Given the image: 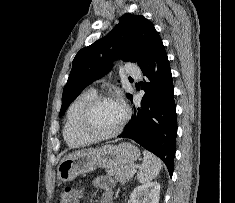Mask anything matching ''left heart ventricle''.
<instances>
[{
  "label": "left heart ventricle",
  "mask_w": 235,
  "mask_h": 203,
  "mask_svg": "<svg viewBox=\"0 0 235 203\" xmlns=\"http://www.w3.org/2000/svg\"><path fill=\"white\" fill-rule=\"evenodd\" d=\"M124 115L123 107L116 101H104L93 110L90 127L98 133H108L114 130Z\"/></svg>",
  "instance_id": "1"
}]
</instances>
